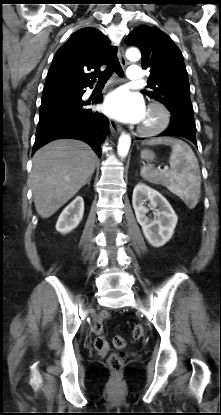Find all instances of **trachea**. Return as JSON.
<instances>
[{
  "label": "trachea",
  "instance_id": "trachea-1",
  "mask_svg": "<svg viewBox=\"0 0 221 415\" xmlns=\"http://www.w3.org/2000/svg\"><path fill=\"white\" fill-rule=\"evenodd\" d=\"M118 74L119 76H123V69L119 63L118 60H114L107 68L105 71H103L99 76H98V82L99 83H105L107 82V80L112 76L113 73Z\"/></svg>",
  "mask_w": 221,
  "mask_h": 415
}]
</instances>
